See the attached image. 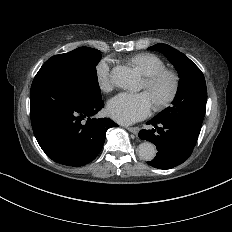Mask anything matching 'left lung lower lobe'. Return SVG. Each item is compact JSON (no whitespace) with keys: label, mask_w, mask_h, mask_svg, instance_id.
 I'll use <instances>...</instances> for the list:
<instances>
[{"label":"left lung lower lobe","mask_w":232,"mask_h":232,"mask_svg":"<svg viewBox=\"0 0 232 232\" xmlns=\"http://www.w3.org/2000/svg\"><path fill=\"white\" fill-rule=\"evenodd\" d=\"M147 124L153 125L154 128L141 130L139 138L154 143L158 150L156 157L148 162L150 166L170 169L182 164L191 156L199 133L173 120L153 118Z\"/></svg>","instance_id":"obj_1"}]
</instances>
